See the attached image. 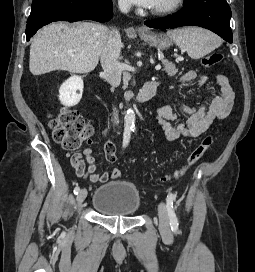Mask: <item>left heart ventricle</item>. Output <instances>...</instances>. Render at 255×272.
Here are the masks:
<instances>
[{"label": "left heart ventricle", "mask_w": 255, "mask_h": 272, "mask_svg": "<svg viewBox=\"0 0 255 272\" xmlns=\"http://www.w3.org/2000/svg\"><path fill=\"white\" fill-rule=\"evenodd\" d=\"M171 0H156L154 6L152 7V9H157L160 8L166 4H168Z\"/></svg>", "instance_id": "b2bd125f"}]
</instances>
